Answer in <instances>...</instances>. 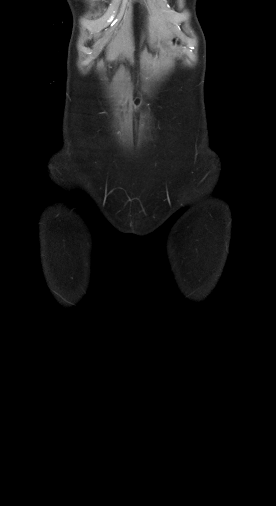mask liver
<instances>
[{"instance_id": "6515ba94", "label": "liver", "mask_w": 276, "mask_h": 506, "mask_svg": "<svg viewBox=\"0 0 276 506\" xmlns=\"http://www.w3.org/2000/svg\"><path fill=\"white\" fill-rule=\"evenodd\" d=\"M153 2L155 3L156 0H153ZM151 21L160 39H170L173 37L171 23L176 21L173 17L169 16L164 9L157 6L153 11Z\"/></svg>"}]
</instances>
